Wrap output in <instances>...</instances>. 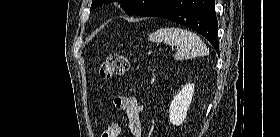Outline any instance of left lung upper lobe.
Returning a JSON list of instances; mask_svg holds the SVG:
<instances>
[{"mask_svg":"<svg viewBox=\"0 0 280 137\" xmlns=\"http://www.w3.org/2000/svg\"><path fill=\"white\" fill-rule=\"evenodd\" d=\"M114 0H92L90 9H94L102 4L110 3ZM121 3V7L128 15H143L161 0H116Z\"/></svg>","mask_w":280,"mask_h":137,"instance_id":"5c2ea615","label":"left lung upper lobe"}]
</instances>
